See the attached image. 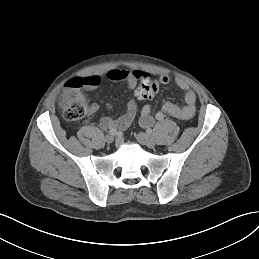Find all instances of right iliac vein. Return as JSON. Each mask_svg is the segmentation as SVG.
<instances>
[{"mask_svg": "<svg viewBox=\"0 0 259 259\" xmlns=\"http://www.w3.org/2000/svg\"><path fill=\"white\" fill-rule=\"evenodd\" d=\"M114 141V136L111 134H108L105 136V142L108 144H111Z\"/></svg>", "mask_w": 259, "mask_h": 259, "instance_id": "right-iliac-vein-1", "label": "right iliac vein"}]
</instances>
